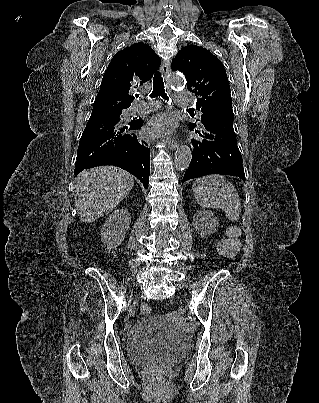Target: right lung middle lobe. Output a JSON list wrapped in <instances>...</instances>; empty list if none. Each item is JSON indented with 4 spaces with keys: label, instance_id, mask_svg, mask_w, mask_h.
<instances>
[{
    "label": "right lung middle lobe",
    "instance_id": "obj_1",
    "mask_svg": "<svg viewBox=\"0 0 319 403\" xmlns=\"http://www.w3.org/2000/svg\"><path fill=\"white\" fill-rule=\"evenodd\" d=\"M101 116L122 117V109L114 107L94 106L90 118H96Z\"/></svg>",
    "mask_w": 319,
    "mask_h": 403
}]
</instances>
